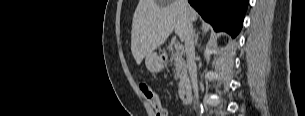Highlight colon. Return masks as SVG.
<instances>
[{"instance_id": "obj_1", "label": "colon", "mask_w": 305, "mask_h": 116, "mask_svg": "<svg viewBox=\"0 0 305 116\" xmlns=\"http://www.w3.org/2000/svg\"><path fill=\"white\" fill-rule=\"evenodd\" d=\"M139 88L146 103L153 112V116H169V112L164 107L158 94L150 86L144 82H141L139 84Z\"/></svg>"}]
</instances>
